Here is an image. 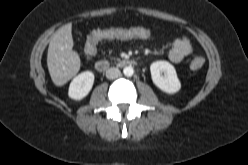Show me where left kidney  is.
Returning a JSON list of instances; mask_svg holds the SVG:
<instances>
[{"label":"left kidney","mask_w":248,"mask_h":165,"mask_svg":"<svg viewBox=\"0 0 248 165\" xmlns=\"http://www.w3.org/2000/svg\"><path fill=\"white\" fill-rule=\"evenodd\" d=\"M153 83L163 92L174 94L181 88V83L177 77L176 70L167 61H156L150 66ZM164 72V75L162 73Z\"/></svg>","instance_id":"obj_1"}]
</instances>
